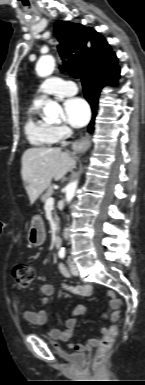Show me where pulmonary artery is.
I'll list each match as a JSON object with an SVG mask.
<instances>
[{
  "label": "pulmonary artery",
  "mask_w": 145,
  "mask_h": 385,
  "mask_svg": "<svg viewBox=\"0 0 145 385\" xmlns=\"http://www.w3.org/2000/svg\"><path fill=\"white\" fill-rule=\"evenodd\" d=\"M77 91L78 89L74 82L65 81L58 77H51L40 85L35 102L42 103L43 99L49 95L70 96L77 93Z\"/></svg>",
  "instance_id": "obj_1"
}]
</instances>
